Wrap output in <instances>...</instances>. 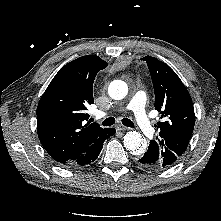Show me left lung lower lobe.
I'll return each mask as SVG.
<instances>
[{
	"label": "left lung lower lobe",
	"instance_id": "0a47b994",
	"mask_svg": "<svg viewBox=\"0 0 221 221\" xmlns=\"http://www.w3.org/2000/svg\"><path fill=\"white\" fill-rule=\"evenodd\" d=\"M164 155L165 154L161 152L157 144L151 143L149 144L148 150L145 152V154L139 157L138 164L145 169H167L171 165L169 164L168 158H166Z\"/></svg>",
	"mask_w": 221,
	"mask_h": 221
}]
</instances>
